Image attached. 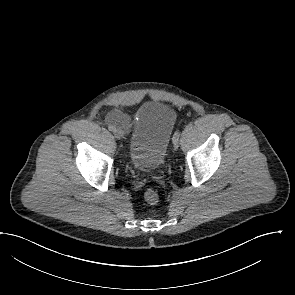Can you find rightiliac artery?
<instances>
[{
    "label": "right iliac artery",
    "instance_id": "right-iliac-artery-1",
    "mask_svg": "<svg viewBox=\"0 0 295 295\" xmlns=\"http://www.w3.org/2000/svg\"><path fill=\"white\" fill-rule=\"evenodd\" d=\"M108 129H109L110 131H114V130H115V127L112 126V125H110V126L108 127Z\"/></svg>",
    "mask_w": 295,
    "mask_h": 295
}]
</instances>
